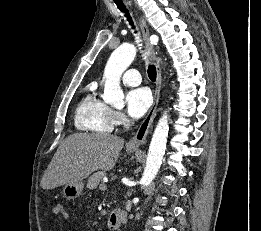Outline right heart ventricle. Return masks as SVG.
<instances>
[{"label": "right heart ventricle", "mask_w": 261, "mask_h": 231, "mask_svg": "<svg viewBox=\"0 0 261 231\" xmlns=\"http://www.w3.org/2000/svg\"><path fill=\"white\" fill-rule=\"evenodd\" d=\"M114 126L112 109L91 90L76 108L75 127L80 131L108 134Z\"/></svg>", "instance_id": "right-heart-ventricle-1"}]
</instances>
